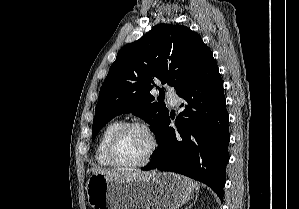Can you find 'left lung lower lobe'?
<instances>
[{
    "instance_id": "obj_1",
    "label": "left lung lower lobe",
    "mask_w": 299,
    "mask_h": 209,
    "mask_svg": "<svg viewBox=\"0 0 299 209\" xmlns=\"http://www.w3.org/2000/svg\"><path fill=\"white\" fill-rule=\"evenodd\" d=\"M184 99L177 129L168 116L156 136L159 148L142 170L177 172L205 183L223 200L226 165L229 161V117L223 82L215 59L176 90Z\"/></svg>"
}]
</instances>
